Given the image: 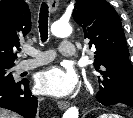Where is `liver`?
<instances>
[{
  "mask_svg": "<svg viewBox=\"0 0 133 118\" xmlns=\"http://www.w3.org/2000/svg\"><path fill=\"white\" fill-rule=\"evenodd\" d=\"M0 118H21L18 114L0 108Z\"/></svg>",
  "mask_w": 133,
  "mask_h": 118,
  "instance_id": "1",
  "label": "liver"
}]
</instances>
